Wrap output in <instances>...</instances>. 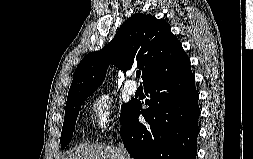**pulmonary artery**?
I'll return each instance as SVG.
<instances>
[{
  "label": "pulmonary artery",
  "mask_w": 253,
  "mask_h": 159,
  "mask_svg": "<svg viewBox=\"0 0 253 159\" xmlns=\"http://www.w3.org/2000/svg\"><path fill=\"white\" fill-rule=\"evenodd\" d=\"M127 75L131 78L134 77V73L133 72H127ZM125 90L128 94L132 95V94H135L136 91H137V84L132 81V80H129L126 82L125 84Z\"/></svg>",
  "instance_id": "pulmonary-artery-1"
}]
</instances>
